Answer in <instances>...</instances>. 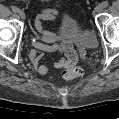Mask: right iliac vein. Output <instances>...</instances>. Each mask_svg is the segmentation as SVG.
Returning a JSON list of instances; mask_svg holds the SVG:
<instances>
[{"label": "right iliac vein", "mask_w": 119, "mask_h": 119, "mask_svg": "<svg viewBox=\"0 0 119 119\" xmlns=\"http://www.w3.org/2000/svg\"><path fill=\"white\" fill-rule=\"evenodd\" d=\"M18 14H19L21 19H25V12L23 10H19Z\"/></svg>", "instance_id": "63e3f726"}]
</instances>
